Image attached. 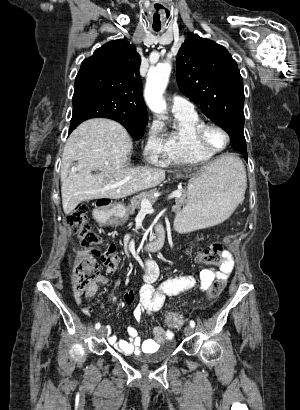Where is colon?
<instances>
[{
    "label": "colon",
    "mask_w": 300,
    "mask_h": 410,
    "mask_svg": "<svg viewBox=\"0 0 300 410\" xmlns=\"http://www.w3.org/2000/svg\"><path fill=\"white\" fill-rule=\"evenodd\" d=\"M88 207L78 206L67 217V224L74 228L81 244L90 249V253H77L70 257L69 267L71 271V283L76 291H82L93 282L99 273L98 264L95 257H98L101 264L109 271L118 268L120 259L112 244L106 243L101 236L96 233L87 220ZM223 247L221 244L214 243L201 249L197 254L199 262L217 264L221 261ZM225 285V281H216L208 290L210 298L220 295ZM169 327L177 328L184 323L183 317L178 313H170L166 317Z\"/></svg>",
    "instance_id": "5ec220e1"
}]
</instances>
